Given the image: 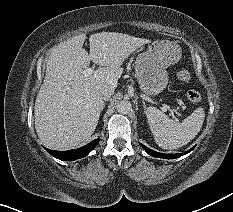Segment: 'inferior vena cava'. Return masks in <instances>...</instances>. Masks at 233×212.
Segmentation results:
<instances>
[{
	"mask_svg": "<svg viewBox=\"0 0 233 212\" xmlns=\"http://www.w3.org/2000/svg\"><path fill=\"white\" fill-rule=\"evenodd\" d=\"M113 94L114 90L106 85L101 86L98 90L99 97L104 101L109 100Z\"/></svg>",
	"mask_w": 233,
	"mask_h": 212,
	"instance_id": "obj_1",
	"label": "inferior vena cava"
}]
</instances>
